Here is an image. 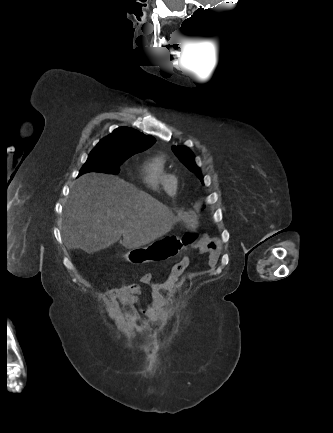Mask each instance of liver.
Masks as SVG:
<instances>
[{
    "instance_id": "6515ba94",
    "label": "liver",
    "mask_w": 333,
    "mask_h": 433,
    "mask_svg": "<svg viewBox=\"0 0 333 433\" xmlns=\"http://www.w3.org/2000/svg\"><path fill=\"white\" fill-rule=\"evenodd\" d=\"M180 207V204H175ZM176 220L167 206L114 175L91 172L73 182L63 212L68 249L88 254L115 244L136 249L168 233Z\"/></svg>"
}]
</instances>
